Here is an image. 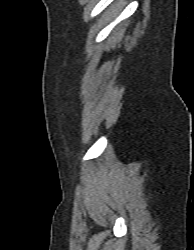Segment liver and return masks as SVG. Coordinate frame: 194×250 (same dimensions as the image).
Wrapping results in <instances>:
<instances>
[{"label":"liver","instance_id":"6515ba94","mask_svg":"<svg viewBox=\"0 0 194 250\" xmlns=\"http://www.w3.org/2000/svg\"><path fill=\"white\" fill-rule=\"evenodd\" d=\"M125 0H119L112 6V12L116 14L120 8H122L125 5Z\"/></svg>","mask_w":194,"mask_h":250}]
</instances>
